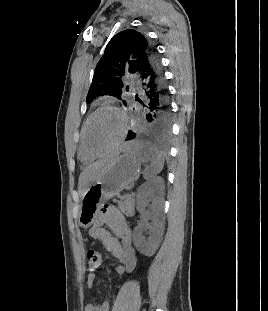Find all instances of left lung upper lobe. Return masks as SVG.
Returning a JSON list of instances; mask_svg holds the SVG:
<instances>
[{
    "label": "left lung upper lobe",
    "mask_w": 268,
    "mask_h": 311,
    "mask_svg": "<svg viewBox=\"0 0 268 311\" xmlns=\"http://www.w3.org/2000/svg\"><path fill=\"white\" fill-rule=\"evenodd\" d=\"M149 48L146 37L136 30L128 29L116 34L107 44L104 55L96 66L86 102L91 103L102 95L121 99L125 86L124 77L138 74L140 63L149 59ZM122 102L127 105L125 100Z\"/></svg>",
    "instance_id": "5c2ea615"
}]
</instances>
